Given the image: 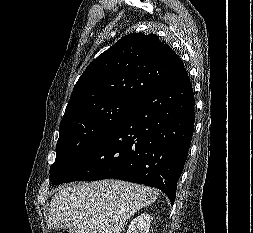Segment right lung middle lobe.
I'll return each instance as SVG.
<instances>
[{
    "label": "right lung middle lobe",
    "mask_w": 253,
    "mask_h": 233,
    "mask_svg": "<svg viewBox=\"0 0 253 233\" xmlns=\"http://www.w3.org/2000/svg\"><path fill=\"white\" fill-rule=\"evenodd\" d=\"M134 102L112 98L76 108L63 116L50 180L58 179L94 149L119 124Z\"/></svg>",
    "instance_id": "dd1d6c3e"
}]
</instances>
